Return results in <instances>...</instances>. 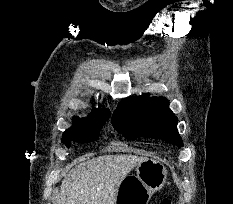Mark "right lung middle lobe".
Masks as SVG:
<instances>
[{
	"mask_svg": "<svg viewBox=\"0 0 233 204\" xmlns=\"http://www.w3.org/2000/svg\"><path fill=\"white\" fill-rule=\"evenodd\" d=\"M106 120L107 118H95L74 123V126L63 133V143L69 147L71 141L86 143L97 140Z\"/></svg>",
	"mask_w": 233,
	"mask_h": 204,
	"instance_id": "right-lung-middle-lobe-1",
	"label": "right lung middle lobe"
}]
</instances>
